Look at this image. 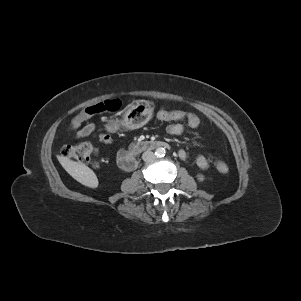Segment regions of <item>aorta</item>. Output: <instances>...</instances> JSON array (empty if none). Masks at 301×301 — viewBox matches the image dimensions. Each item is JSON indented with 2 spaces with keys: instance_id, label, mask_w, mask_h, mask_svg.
Returning a JSON list of instances; mask_svg holds the SVG:
<instances>
[{
  "instance_id": "1",
  "label": "aorta",
  "mask_w": 301,
  "mask_h": 301,
  "mask_svg": "<svg viewBox=\"0 0 301 301\" xmlns=\"http://www.w3.org/2000/svg\"><path fill=\"white\" fill-rule=\"evenodd\" d=\"M165 153H166V151H165V149L163 147H159L155 151V155L157 157H163V156H165Z\"/></svg>"
}]
</instances>
